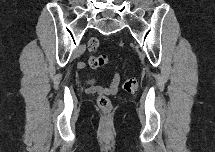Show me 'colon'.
I'll return each instance as SVG.
<instances>
[{"instance_id":"5ec220e1","label":"colon","mask_w":215,"mask_h":152,"mask_svg":"<svg viewBox=\"0 0 215 152\" xmlns=\"http://www.w3.org/2000/svg\"><path fill=\"white\" fill-rule=\"evenodd\" d=\"M99 47V41L92 38L88 42V50L95 52ZM91 68H99L106 64L107 57L105 55L91 56L88 60ZM123 89L128 93H134L138 90V82L135 78H127L123 82ZM98 105L103 110H108L111 107V101L106 96H100L97 100Z\"/></svg>"}]
</instances>
